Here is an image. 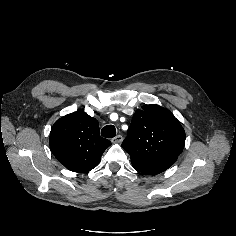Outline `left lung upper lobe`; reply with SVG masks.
Instances as JSON below:
<instances>
[{"mask_svg": "<svg viewBox=\"0 0 236 236\" xmlns=\"http://www.w3.org/2000/svg\"><path fill=\"white\" fill-rule=\"evenodd\" d=\"M185 131L167 109L155 104L135 112L122 147L133 167L147 175H157L171 167L182 153Z\"/></svg>", "mask_w": 236, "mask_h": 236, "instance_id": "left-lung-upper-lobe-1", "label": "left lung upper lobe"}]
</instances>
